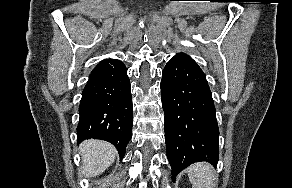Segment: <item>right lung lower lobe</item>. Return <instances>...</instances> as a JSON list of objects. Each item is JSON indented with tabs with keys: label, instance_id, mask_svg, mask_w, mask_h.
Masks as SVG:
<instances>
[{
	"label": "right lung lower lobe",
	"instance_id": "right-lung-lower-lobe-1",
	"mask_svg": "<svg viewBox=\"0 0 292 188\" xmlns=\"http://www.w3.org/2000/svg\"><path fill=\"white\" fill-rule=\"evenodd\" d=\"M79 114L78 143L90 138L108 141L122 159L132 138L133 105L127 69L121 61L105 59L92 70Z\"/></svg>",
	"mask_w": 292,
	"mask_h": 188
}]
</instances>
